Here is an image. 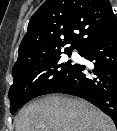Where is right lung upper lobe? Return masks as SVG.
Returning a JSON list of instances; mask_svg holds the SVG:
<instances>
[{"label": "right lung upper lobe", "mask_w": 117, "mask_h": 131, "mask_svg": "<svg viewBox=\"0 0 117 131\" xmlns=\"http://www.w3.org/2000/svg\"><path fill=\"white\" fill-rule=\"evenodd\" d=\"M116 29L108 0H46L29 21L12 70L61 52L66 45L64 52L80 50Z\"/></svg>", "instance_id": "1"}]
</instances>
